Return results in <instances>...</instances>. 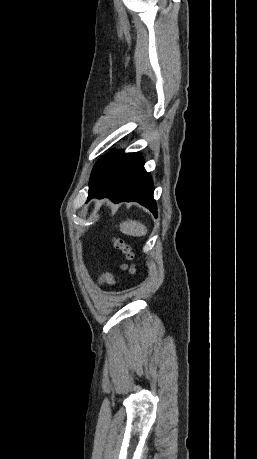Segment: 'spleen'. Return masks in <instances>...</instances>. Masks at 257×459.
I'll use <instances>...</instances> for the list:
<instances>
[{
    "instance_id": "1",
    "label": "spleen",
    "mask_w": 257,
    "mask_h": 459,
    "mask_svg": "<svg viewBox=\"0 0 257 459\" xmlns=\"http://www.w3.org/2000/svg\"><path fill=\"white\" fill-rule=\"evenodd\" d=\"M120 231L129 236H145L147 228L136 220H126L120 224Z\"/></svg>"
}]
</instances>
